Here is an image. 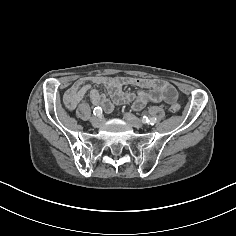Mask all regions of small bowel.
<instances>
[{"label":"small bowel","mask_w":236,"mask_h":236,"mask_svg":"<svg viewBox=\"0 0 236 236\" xmlns=\"http://www.w3.org/2000/svg\"><path fill=\"white\" fill-rule=\"evenodd\" d=\"M91 83L103 85L109 96L93 88ZM127 85L138 87L141 90L134 94L125 93L123 87ZM86 94L89 95L94 106L100 107L105 112H111L115 104L129 100H133V107L140 110L148 103H174L178 96L172 84L158 79L131 76H93L88 80L80 79L72 84L65 92L64 102L68 108L74 109Z\"/></svg>","instance_id":"1"}]
</instances>
